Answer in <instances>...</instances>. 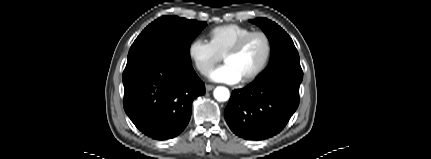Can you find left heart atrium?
Wrapping results in <instances>:
<instances>
[{
    "label": "left heart atrium",
    "mask_w": 431,
    "mask_h": 159,
    "mask_svg": "<svg viewBox=\"0 0 431 159\" xmlns=\"http://www.w3.org/2000/svg\"><path fill=\"white\" fill-rule=\"evenodd\" d=\"M210 78L215 82L226 84H236L242 80L235 69L227 63L213 70Z\"/></svg>",
    "instance_id": "1"
}]
</instances>
